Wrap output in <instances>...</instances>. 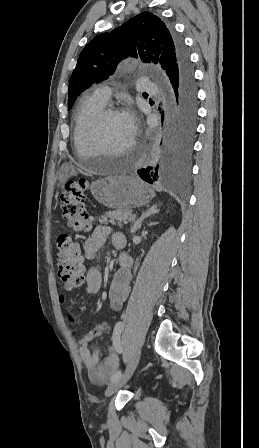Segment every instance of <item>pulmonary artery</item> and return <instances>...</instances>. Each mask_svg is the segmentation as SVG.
<instances>
[{
    "instance_id": "obj_1",
    "label": "pulmonary artery",
    "mask_w": 259,
    "mask_h": 448,
    "mask_svg": "<svg viewBox=\"0 0 259 448\" xmlns=\"http://www.w3.org/2000/svg\"><path fill=\"white\" fill-rule=\"evenodd\" d=\"M94 93L96 94L97 98L104 103H107L110 100L112 94L110 87L106 84L98 85L97 87H95Z\"/></svg>"
}]
</instances>
